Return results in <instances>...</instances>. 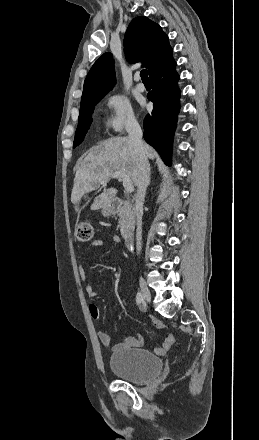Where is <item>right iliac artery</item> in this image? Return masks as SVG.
I'll return each mask as SVG.
<instances>
[{
  "instance_id": "1",
  "label": "right iliac artery",
  "mask_w": 259,
  "mask_h": 440,
  "mask_svg": "<svg viewBox=\"0 0 259 440\" xmlns=\"http://www.w3.org/2000/svg\"><path fill=\"white\" fill-rule=\"evenodd\" d=\"M136 302H137V305H140L143 302V296H142L141 292L137 293Z\"/></svg>"
}]
</instances>
